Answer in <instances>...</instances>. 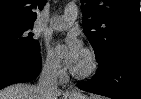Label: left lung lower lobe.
Here are the masks:
<instances>
[{"mask_svg": "<svg viewBox=\"0 0 141 99\" xmlns=\"http://www.w3.org/2000/svg\"><path fill=\"white\" fill-rule=\"evenodd\" d=\"M98 61L94 77L78 88L113 99H141V50H117Z\"/></svg>", "mask_w": 141, "mask_h": 99, "instance_id": "obj_1", "label": "left lung lower lobe"}]
</instances>
